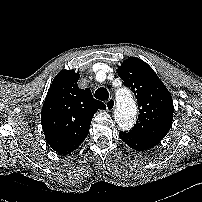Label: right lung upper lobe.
<instances>
[{"label": "right lung upper lobe", "mask_w": 202, "mask_h": 202, "mask_svg": "<svg viewBox=\"0 0 202 202\" xmlns=\"http://www.w3.org/2000/svg\"><path fill=\"white\" fill-rule=\"evenodd\" d=\"M79 77L74 70L58 73L41 111L45 139L62 155L73 152L84 141L96 111L106 109L103 102L93 98L89 88L79 89Z\"/></svg>", "instance_id": "obj_1"}]
</instances>
